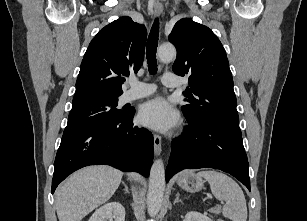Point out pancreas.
<instances>
[{"label": "pancreas", "mask_w": 307, "mask_h": 221, "mask_svg": "<svg viewBox=\"0 0 307 221\" xmlns=\"http://www.w3.org/2000/svg\"><path fill=\"white\" fill-rule=\"evenodd\" d=\"M211 213H214V214H220L221 212V208L217 207V208H213L210 210Z\"/></svg>", "instance_id": "1"}]
</instances>
